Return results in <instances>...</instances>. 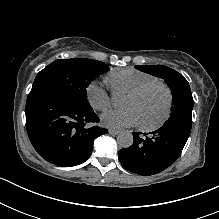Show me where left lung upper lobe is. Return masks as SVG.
<instances>
[{
  "label": "left lung upper lobe",
  "mask_w": 219,
  "mask_h": 219,
  "mask_svg": "<svg viewBox=\"0 0 219 219\" xmlns=\"http://www.w3.org/2000/svg\"><path fill=\"white\" fill-rule=\"evenodd\" d=\"M138 70L163 78L172 92V113L166 121L192 123L194 105L187 80L177 71L162 65H136Z\"/></svg>",
  "instance_id": "5c2ea615"
}]
</instances>
